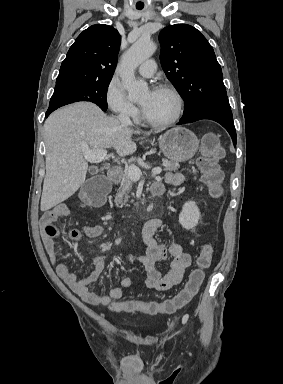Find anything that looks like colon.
Instances as JSON below:
<instances>
[{
  "instance_id": "5ec220e1",
  "label": "colon",
  "mask_w": 283,
  "mask_h": 384,
  "mask_svg": "<svg viewBox=\"0 0 283 384\" xmlns=\"http://www.w3.org/2000/svg\"><path fill=\"white\" fill-rule=\"evenodd\" d=\"M223 155L220 141L215 134L204 136L201 147V155L198 161L202 174V181L210 194L217 198L222 192L223 174L218 166V160ZM110 189L109 181L102 176L89 179L82 187L79 198L85 206L96 207L103 204ZM49 233L56 235V229L49 227ZM76 236V233L72 234ZM213 250L210 245H204L197 257L196 268L191 272L184 288L172 299L163 302H144L127 300L116 302L111 309L117 313L143 312L147 314L173 313L187 305L198 293L207 269L212 260Z\"/></svg>"
}]
</instances>
